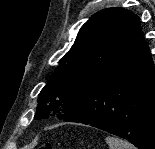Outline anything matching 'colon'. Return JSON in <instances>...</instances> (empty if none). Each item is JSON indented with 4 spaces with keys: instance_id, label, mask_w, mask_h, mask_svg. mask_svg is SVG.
<instances>
[{
    "instance_id": "colon-1",
    "label": "colon",
    "mask_w": 155,
    "mask_h": 149,
    "mask_svg": "<svg viewBox=\"0 0 155 149\" xmlns=\"http://www.w3.org/2000/svg\"><path fill=\"white\" fill-rule=\"evenodd\" d=\"M40 149H53V145L51 143H44L41 145Z\"/></svg>"
}]
</instances>
